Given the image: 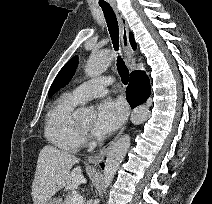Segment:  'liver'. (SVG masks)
<instances>
[{
	"instance_id": "obj_1",
	"label": "liver",
	"mask_w": 212,
	"mask_h": 204,
	"mask_svg": "<svg viewBox=\"0 0 212 204\" xmlns=\"http://www.w3.org/2000/svg\"><path fill=\"white\" fill-rule=\"evenodd\" d=\"M79 159L74 155L45 145L38 156L35 177L32 184L34 204H45L59 190H75L86 183L80 166L72 167Z\"/></svg>"
}]
</instances>
